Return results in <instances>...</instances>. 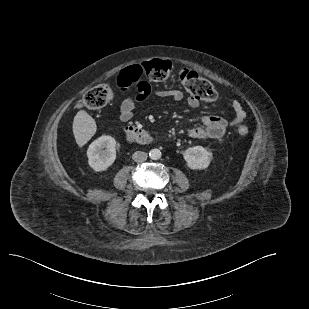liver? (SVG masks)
Segmentation results:
<instances>
[{
    "label": "liver",
    "instance_id": "1",
    "mask_svg": "<svg viewBox=\"0 0 309 309\" xmlns=\"http://www.w3.org/2000/svg\"><path fill=\"white\" fill-rule=\"evenodd\" d=\"M95 120L84 110H80L74 117L73 134L79 147L84 146L96 133Z\"/></svg>",
    "mask_w": 309,
    "mask_h": 309
}]
</instances>
